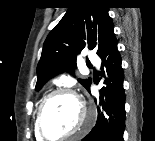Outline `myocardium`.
Segmentation results:
<instances>
[{
    "mask_svg": "<svg viewBox=\"0 0 155 141\" xmlns=\"http://www.w3.org/2000/svg\"><path fill=\"white\" fill-rule=\"evenodd\" d=\"M60 94L71 96L72 98H74L77 101V103L79 104V106L82 109L83 119H82L80 125L77 128H75L73 131H71L65 135H62L58 138H50L46 135V133L44 132V129L42 127V114H43V110H44L47 102L49 101V99L55 95H60ZM91 123H92V113L89 111V109L86 105V102L72 89L60 87V88H56V89L50 91L49 93H47L41 100L40 105L37 110L35 127H36V131H37L39 137L42 139H45V140H66V139L74 137L77 134L86 130L91 125Z\"/></svg>",
    "mask_w": 155,
    "mask_h": 141,
    "instance_id": "myocardium-1",
    "label": "myocardium"
}]
</instances>
